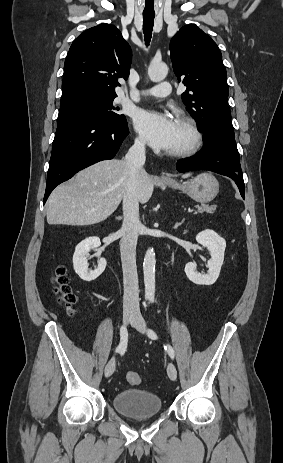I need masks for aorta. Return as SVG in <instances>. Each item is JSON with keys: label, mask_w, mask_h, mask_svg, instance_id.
Here are the masks:
<instances>
[{"label": "aorta", "mask_w": 283, "mask_h": 463, "mask_svg": "<svg viewBox=\"0 0 283 463\" xmlns=\"http://www.w3.org/2000/svg\"><path fill=\"white\" fill-rule=\"evenodd\" d=\"M168 67L163 62H152L148 68V76L153 82H160L165 79ZM155 252L153 248L146 251L143 262L145 298L154 299L155 296Z\"/></svg>", "instance_id": "aorta-1"}]
</instances>
